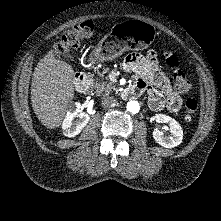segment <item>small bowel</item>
Returning a JSON list of instances; mask_svg holds the SVG:
<instances>
[{
  "label": "small bowel",
  "mask_w": 221,
  "mask_h": 221,
  "mask_svg": "<svg viewBox=\"0 0 221 221\" xmlns=\"http://www.w3.org/2000/svg\"><path fill=\"white\" fill-rule=\"evenodd\" d=\"M121 67L126 72L138 74L135 83L140 93L147 91L149 106L154 111L167 108L170 112H178L183 104L181 94L176 87H172L168 78L149 58L147 54L132 52L128 54Z\"/></svg>",
  "instance_id": "obj_1"
}]
</instances>
